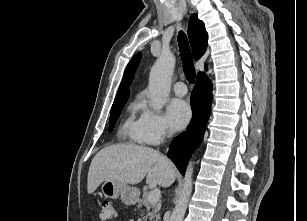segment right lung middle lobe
Here are the masks:
<instances>
[{"instance_id": "right-lung-middle-lobe-1", "label": "right lung middle lobe", "mask_w": 307, "mask_h": 221, "mask_svg": "<svg viewBox=\"0 0 307 221\" xmlns=\"http://www.w3.org/2000/svg\"><path fill=\"white\" fill-rule=\"evenodd\" d=\"M126 100L113 103L110 114V129L115 125V122L125 104Z\"/></svg>"}]
</instances>
